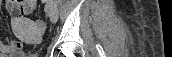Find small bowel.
I'll use <instances>...</instances> for the list:
<instances>
[{
  "label": "small bowel",
  "mask_w": 172,
  "mask_h": 57,
  "mask_svg": "<svg viewBox=\"0 0 172 57\" xmlns=\"http://www.w3.org/2000/svg\"><path fill=\"white\" fill-rule=\"evenodd\" d=\"M12 6L17 7V14L15 15L14 21L23 19L26 14L33 11L36 5L35 0H24V1H13L10 3ZM23 47V42L20 40H0V54H14L20 51Z\"/></svg>",
  "instance_id": "small-bowel-1"
}]
</instances>
